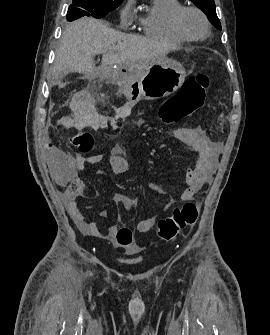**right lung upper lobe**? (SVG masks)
Returning a JSON list of instances; mask_svg holds the SVG:
<instances>
[{
	"instance_id": "1",
	"label": "right lung upper lobe",
	"mask_w": 270,
	"mask_h": 335,
	"mask_svg": "<svg viewBox=\"0 0 270 335\" xmlns=\"http://www.w3.org/2000/svg\"><path fill=\"white\" fill-rule=\"evenodd\" d=\"M107 1H111V2H117V3H122L123 0H107Z\"/></svg>"
}]
</instances>
